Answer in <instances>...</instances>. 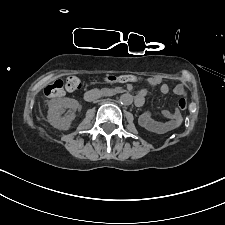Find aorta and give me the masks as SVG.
<instances>
[{
	"mask_svg": "<svg viewBox=\"0 0 225 225\" xmlns=\"http://www.w3.org/2000/svg\"><path fill=\"white\" fill-rule=\"evenodd\" d=\"M133 101V97L131 94L129 93H125V94H122L120 96V99H119V102L122 104V105H130Z\"/></svg>",
	"mask_w": 225,
	"mask_h": 225,
	"instance_id": "obj_1",
	"label": "aorta"
}]
</instances>
